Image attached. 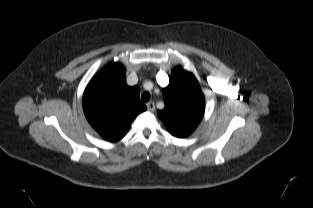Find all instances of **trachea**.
Instances as JSON below:
<instances>
[{
  "label": "trachea",
  "instance_id": "trachea-1",
  "mask_svg": "<svg viewBox=\"0 0 313 208\" xmlns=\"http://www.w3.org/2000/svg\"><path fill=\"white\" fill-rule=\"evenodd\" d=\"M141 100L143 102H148L150 100V93L149 92H144L142 95H141Z\"/></svg>",
  "mask_w": 313,
  "mask_h": 208
}]
</instances>
